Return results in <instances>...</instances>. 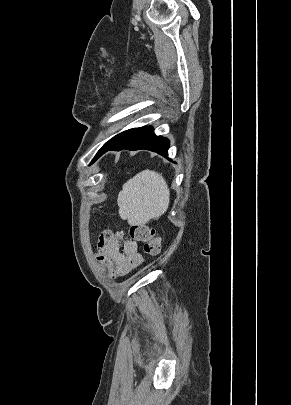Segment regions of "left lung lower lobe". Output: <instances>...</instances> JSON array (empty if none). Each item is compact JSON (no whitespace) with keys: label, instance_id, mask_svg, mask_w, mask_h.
Listing matches in <instances>:
<instances>
[{"label":"left lung lower lobe","instance_id":"1","mask_svg":"<svg viewBox=\"0 0 291 405\" xmlns=\"http://www.w3.org/2000/svg\"><path fill=\"white\" fill-rule=\"evenodd\" d=\"M168 148L169 140L167 138L156 136L153 127L144 126L125 131L114 143L100 149L94 160L109 150L122 149H146L168 158Z\"/></svg>","mask_w":291,"mask_h":405}]
</instances>
